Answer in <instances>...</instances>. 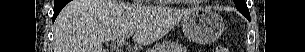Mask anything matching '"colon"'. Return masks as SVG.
Returning <instances> with one entry per match:
<instances>
[{
    "instance_id": "obj_1",
    "label": "colon",
    "mask_w": 305,
    "mask_h": 52,
    "mask_svg": "<svg viewBox=\"0 0 305 52\" xmlns=\"http://www.w3.org/2000/svg\"><path fill=\"white\" fill-rule=\"evenodd\" d=\"M217 52H228V49L226 47H224V46H219L217 48Z\"/></svg>"
}]
</instances>
